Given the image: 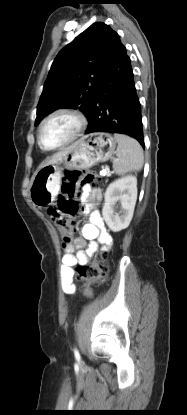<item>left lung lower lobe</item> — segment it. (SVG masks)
Instances as JSON below:
<instances>
[{
  "label": "left lung lower lobe",
  "mask_w": 187,
  "mask_h": 415,
  "mask_svg": "<svg viewBox=\"0 0 187 415\" xmlns=\"http://www.w3.org/2000/svg\"><path fill=\"white\" fill-rule=\"evenodd\" d=\"M86 134L120 133L135 138L144 148L141 105L133 69L118 37L96 86L93 114Z\"/></svg>",
  "instance_id": "left-lung-lower-lobe-1"
}]
</instances>
